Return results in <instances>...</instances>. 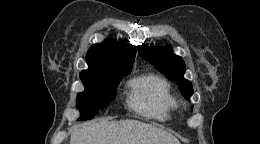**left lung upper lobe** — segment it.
I'll use <instances>...</instances> for the list:
<instances>
[{
	"mask_svg": "<svg viewBox=\"0 0 260 144\" xmlns=\"http://www.w3.org/2000/svg\"><path fill=\"white\" fill-rule=\"evenodd\" d=\"M139 54L148 62L156 66L168 79L180 85V91L186 98L193 94L192 84L184 79L186 66L183 59L173 53L170 46L148 47L145 44L138 46Z\"/></svg>",
	"mask_w": 260,
	"mask_h": 144,
	"instance_id": "left-lung-upper-lobe-1",
	"label": "left lung upper lobe"
}]
</instances>
